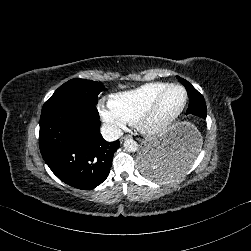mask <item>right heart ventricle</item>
<instances>
[{
    "label": "right heart ventricle",
    "mask_w": 251,
    "mask_h": 251,
    "mask_svg": "<svg viewBox=\"0 0 251 251\" xmlns=\"http://www.w3.org/2000/svg\"><path fill=\"white\" fill-rule=\"evenodd\" d=\"M167 84V82L147 83L129 92L119 94L116 100L126 114L137 119Z\"/></svg>",
    "instance_id": "1"
}]
</instances>
